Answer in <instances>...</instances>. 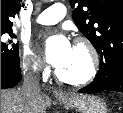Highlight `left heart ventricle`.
Returning <instances> with one entry per match:
<instances>
[{
    "label": "left heart ventricle",
    "instance_id": "left-heart-ventricle-1",
    "mask_svg": "<svg viewBox=\"0 0 123 113\" xmlns=\"http://www.w3.org/2000/svg\"><path fill=\"white\" fill-rule=\"evenodd\" d=\"M60 73L67 77H79L88 69V55L80 47L74 46L70 59L60 68Z\"/></svg>",
    "mask_w": 123,
    "mask_h": 113
}]
</instances>
